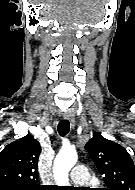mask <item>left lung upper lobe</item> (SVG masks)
I'll return each mask as SVG.
<instances>
[{
    "label": "left lung upper lobe",
    "mask_w": 135,
    "mask_h": 190,
    "mask_svg": "<svg viewBox=\"0 0 135 190\" xmlns=\"http://www.w3.org/2000/svg\"><path fill=\"white\" fill-rule=\"evenodd\" d=\"M85 149L104 175L105 190H135V165L124 147L97 133Z\"/></svg>",
    "instance_id": "obj_1"
}]
</instances>
